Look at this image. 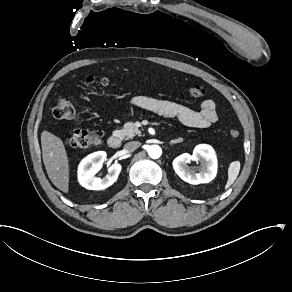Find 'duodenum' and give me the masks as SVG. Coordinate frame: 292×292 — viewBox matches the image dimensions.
I'll use <instances>...</instances> for the list:
<instances>
[{
	"label": "duodenum",
	"instance_id": "duodenum-1",
	"mask_svg": "<svg viewBox=\"0 0 292 292\" xmlns=\"http://www.w3.org/2000/svg\"><path fill=\"white\" fill-rule=\"evenodd\" d=\"M108 145L110 148L112 149H117L120 147L121 145V138L119 135H111L109 138H108Z\"/></svg>",
	"mask_w": 292,
	"mask_h": 292
}]
</instances>
